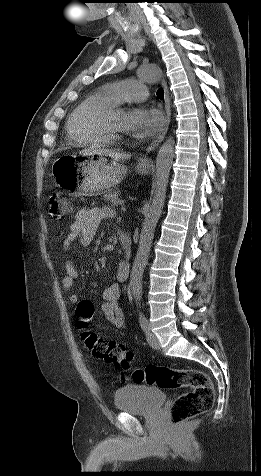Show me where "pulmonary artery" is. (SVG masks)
<instances>
[{
	"instance_id": "e3ab8cb5",
	"label": "pulmonary artery",
	"mask_w": 261,
	"mask_h": 476,
	"mask_svg": "<svg viewBox=\"0 0 261 476\" xmlns=\"http://www.w3.org/2000/svg\"><path fill=\"white\" fill-rule=\"evenodd\" d=\"M104 90L118 103L144 101L148 98L146 85L133 79L107 85Z\"/></svg>"
}]
</instances>
